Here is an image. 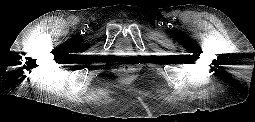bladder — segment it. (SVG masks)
<instances>
[{
    "label": "bladder",
    "instance_id": "bladder-1",
    "mask_svg": "<svg viewBox=\"0 0 255 122\" xmlns=\"http://www.w3.org/2000/svg\"><path fill=\"white\" fill-rule=\"evenodd\" d=\"M129 45H130V40L126 36L121 35L116 40V46L118 48H124V47L129 46Z\"/></svg>",
    "mask_w": 255,
    "mask_h": 122
}]
</instances>
